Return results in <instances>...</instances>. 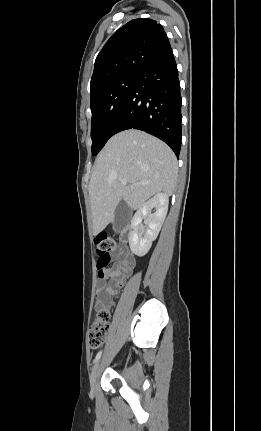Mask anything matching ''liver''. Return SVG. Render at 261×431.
Listing matches in <instances>:
<instances>
[{
  "label": "liver",
  "mask_w": 261,
  "mask_h": 431,
  "mask_svg": "<svg viewBox=\"0 0 261 431\" xmlns=\"http://www.w3.org/2000/svg\"><path fill=\"white\" fill-rule=\"evenodd\" d=\"M177 180L176 156L163 141L134 129L114 135L99 153L89 182L93 233L114 219L122 200L136 210L161 191L171 196Z\"/></svg>",
  "instance_id": "6515ba94"
}]
</instances>
